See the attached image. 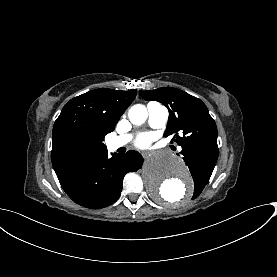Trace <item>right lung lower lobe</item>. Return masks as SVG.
Here are the masks:
<instances>
[{"mask_svg":"<svg viewBox=\"0 0 277 277\" xmlns=\"http://www.w3.org/2000/svg\"><path fill=\"white\" fill-rule=\"evenodd\" d=\"M142 163V156L134 151L115 153L111 158L105 151L78 162L57 176L74 202L86 208L99 209L119 198L125 174L137 171Z\"/></svg>","mask_w":277,"mask_h":277,"instance_id":"98d812e1","label":"right lung lower lobe"}]
</instances>
